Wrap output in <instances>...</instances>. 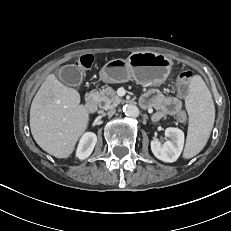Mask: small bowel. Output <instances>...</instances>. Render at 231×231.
I'll return each mask as SVG.
<instances>
[{
  "instance_id": "1",
  "label": "small bowel",
  "mask_w": 231,
  "mask_h": 231,
  "mask_svg": "<svg viewBox=\"0 0 231 231\" xmlns=\"http://www.w3.org/2000/svg\"><path fill=\"white\" fill-rule=\"evenodd\" d=\"M141 104L145 108H155L153 120L157 121L165 116L178 115L182 112L181 101L173 96H165L158 90H150L141 98Z\"/></svg>"
}]
</instances>
